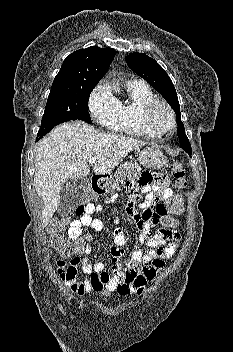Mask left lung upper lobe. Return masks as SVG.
I'll return each instance as SVG.
<instances>
[{"instance_id":"1","label":"left lung upper lobe","mask_w":233,"mask_h":352,"mask_svg":"<svg viewBox=\"0 0 233 352\" xmlns=\"http://www.w3.org/2000/svg\"><path fill=\"white\" fill-rule=\"evenodd\" d=\"M125 60L130 69L157 90L175 111L178 125L177 135L180 146L187 153H192L190 142L185 134L184 125L181 121L177 93L166 71L146 54L131 53Z\"/></svg>"}]
</instances>
